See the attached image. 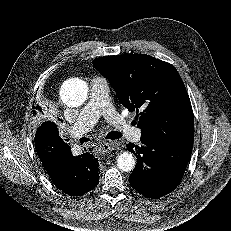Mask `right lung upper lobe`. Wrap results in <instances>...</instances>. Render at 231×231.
Instances as JSON below:
<instances>
[{
    "label": "right lung upper lobe",
    "mask_w": 231,
    "mask_h": 231,
    "mask_svg": "<svg viewBox=\"0 0 231 231\" xmlns=\"http://www.w3.org/2000/svg\"><path fill=\"white\" fill-rule=\"evenodd\" d=\"M35 109L38 111L40 110V107L36 106ZM34 113H36V111H34Z\"/></svg>",
    "instance_id": "obj_1"
}]
</instances>
